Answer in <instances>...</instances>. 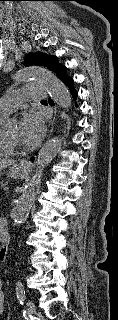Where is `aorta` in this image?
<instances>
[{
  "label": "aorta",
  "mask_w": 118,
  "mask_h": 320,
  "mask_svg": "<svg viewBox=\"0 0 118 320\" xmlns=\"http://www.w3.org/2000/svg\"><path fill=\"white\" fill-rule=\"evenodd\" d=\"M19 81H38L45 86L51 98L60 107L67 109L71 106V96L67 87L52 73L44 67L30 66L21 69L17 75ZM62 138L54 137L47 141L38 153L37 167L31 179L27 182L25 190L19 197L13 215L15 226L24 223L41 185L43 171L46 166L58 154L62 146Z\"/></svg>",
  "instance_id": "obj_1"
}]
</instances>
